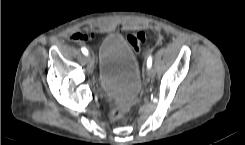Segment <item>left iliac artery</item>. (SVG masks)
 Segmentation results:
<instances>
[{"label": "left iliac artery", "instance_id": "left-iliac-artery-1", "mask_svg": "<svg viewBox=\"0 0 245 145\" xmlns=\"http://www.w3.org/2000/svg\"><path fill=\"white\" fill-rule=\"evenodd\" d=\"M152 66V57L149 56L148 59H147V67H151Z\"/></svg>", "mask_w": 245, "mask_h": 145}]
</instances>
